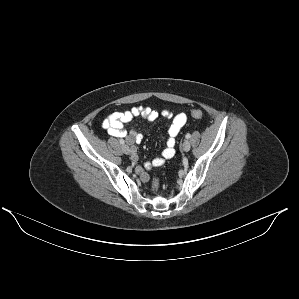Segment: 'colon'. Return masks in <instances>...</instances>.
Returning a JSON list of instances; mask_svg holds the SVG:
<instances>
[{"mask_svg": "<svg viewBox=\"0 0 299 299\" xmlns=\"http://www.w3.org/2000/svg\"><path fill=\"white\" fill-rule=\"evenodd\" d=\"M191 116H192L193 118L200 119V118L203 117V111H202V110H199V109L193 110V111L191 112ZM154 185H155V187L158 186L157 181L154 182Z\"/></svg>", "mask_w": 299, "mask_h": 299, "instance_id": "1", "label": "colon"}]
</instances>
